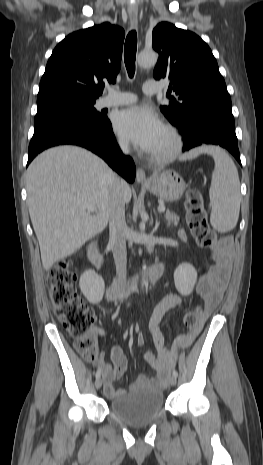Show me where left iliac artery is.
Masks as SVG:
<instances>
[{
	"mask_svg": "<svg viewBox=\"0 0 263 465\" xmlns=\"http://www.w3.org/2000/svg\"><path fill=\"white\" fill-rule=\"evenodd\" d=\"M173 375H174L175 377H177V376H178V372H177L176 370H173Z\"/></svg>",
	"mask_w": 263,
	"mask_h": 465,
	"instance_id": "obj_1",
	"label": "left iliac artery"
}]
</instances>
